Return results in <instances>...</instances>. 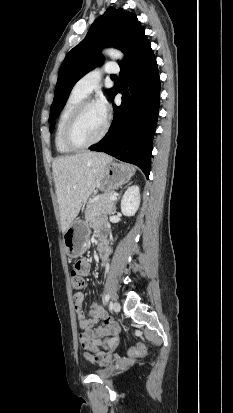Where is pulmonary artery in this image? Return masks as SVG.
<instances>
[{"mask_svg": "<svg viewBox=\"0 0 233 413\" xmlns=\"http://www.w3.org/2000/svg\"><path fill=\"white\" fill-rule=\"evenodd\" d=\"M118 70V66L113 63L105 65V67L102 69H95L84 75L75 84L73 91L86 97L98 86L104 73L113 74L118 72Z\"/></svg>", "mask_w": 233, "mask_h": 413, "instance_id": "obj_1", "label": "pulmonary artery"}]
</instances>
